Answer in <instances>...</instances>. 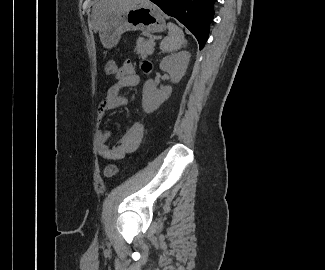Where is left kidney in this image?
<instances>
[{"label": "left kidney", "mask_w": 325, "mask_h": 270, "mask_svg": "<svg viewBox=\"0 0 325 270\" xmlns=\"http://www.w3.org/2000/svg\"><path fill=\"white\" fill-rule=\"evenodd\" d=\"M190 56L188 51L171 54L161 60L159 67L170 74L173 83H178L186 72ZM171 93V86L157 89V85L153 80L146 81L142 90V107L144 112L148 114L154 112L170 97Z\"/></svg>", "instance_id": "left-kidney-1"}]
</instances>
